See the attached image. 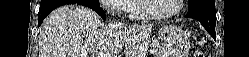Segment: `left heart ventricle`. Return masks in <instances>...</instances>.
Masks as SVG:
<instances>
[{"mask_svg":"<svg viewBox=\"0 0 249 57\" xmlns=\"http://www.w3.org/2000/svg\"><path fill=\"white\" fill-rule=\"evenodd\" d=\"M177 0H149L150 11L155 14H166L174 11Z\"/></svg>","mask_w":249,"mask_h":57,"instance_id":"left-heart-ventricle-1","label":"left heart ventricle"}]
</instances>
